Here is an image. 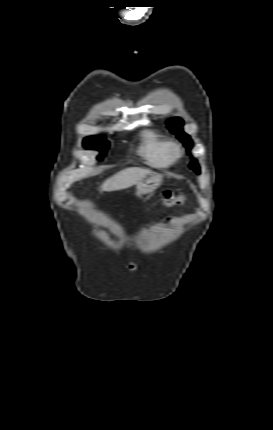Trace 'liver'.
Listing matches in <instances>:
<instances>
[{"instance_id":"6515ba94","label":"liver","mask_w":273,"mask_h":430,"mask_svg":"<svg viewBox=\"0 0 273 430\" xmlns=\"http://www.w3.org/2000/svg\"><path fill=\"white\" fill-rule=\"evenodd\" d=\"M153 173L148 169L131 167L119 171L108 178L101 186L102 191L112 192L127 189L137 184L145 176Z\"/></svg>"}]
</instances>
